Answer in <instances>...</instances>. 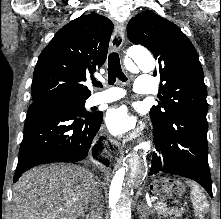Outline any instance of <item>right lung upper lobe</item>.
Returning a JSON list of instances; mask_svg holds the SVG:
<instances>
[{"label":"right lung upper lobe","instance_id":"cb5924a9","mask_svg":"<svg viewBox=\"0 0 221 219\" xmlns=\"http://www.w3.org/2000/svg\"><path fill=\"white\" fill-rule=\"evenodd\" d=\"M112 22L97 13L62 27L41 52L32 82L33 103L54 98L87 99L84 84L106 61Z\"/></svg>","mask_w":221,"mask_h":219}]
</instances>
